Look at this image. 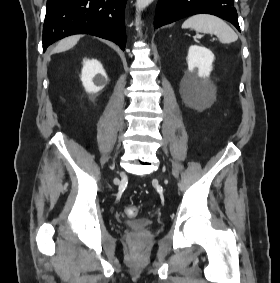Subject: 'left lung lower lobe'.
<instances>
[{
	"label": "left lung lower lobe",
	"instance_id": "obj_1",
	"mask_svg": "<svg viewBox=\"0 0 280 283\" xmlns=\"http://www.w3.org/2000/svg\"><path fill=\"white\" fill-rule=\"evenodd\" d=\"M200 13L223 18L240 31L233 0H159L154 17V28Z\"/></svg>",
	"mask_w": 280,
	"mask_h": 283
}]
</instances>
